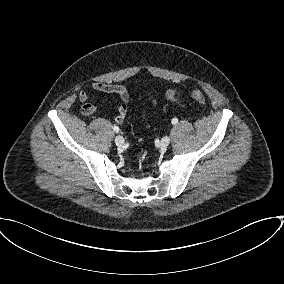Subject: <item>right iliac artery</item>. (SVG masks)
Listing matches in <instances>:
<instances>
[{
  "instance_id": "obj_1",
  "label": "right iliac artery",
  "mask_w": 284,
  "mask_h": 284,
  "mask_svg": "<svg viewBox=\"0 0 284 284\" xmlns=\"http://www.w3.org/2000/svg\"><path fill=\"white\" fill-rule=\"evenodd\" d=\"M113 130H114L115 132H119V127L116 126V125H114V126H113Z\"/></svg>"
}]
</instances>
